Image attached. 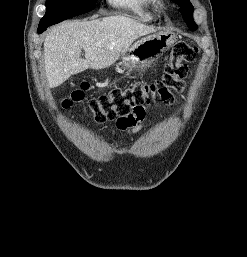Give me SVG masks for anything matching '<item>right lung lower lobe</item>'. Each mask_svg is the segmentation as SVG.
<instances>
[{
    "label": "right lung lower lobe",
    "mask_w": 247,
    "mask_h": 257,
    "mask_svg": "<svg viewBox=\"0 0 247 257\" xmlns=\"http://www.w3.org/2000/svg\"><path fill=\"white\" fill-rule=\"evenodd\" d=\"M50 25H39L37 32L40 34L42 32H44L46 30L47 27H49Z\"/></svg>",
    "instance_id": "1"
}]
</instances>
